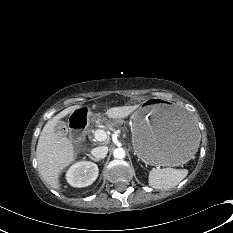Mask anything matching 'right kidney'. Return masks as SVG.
<instances>
[{
	"instance_id": "obj_1",
	"label": "right kidney",
	"mask_w": 233,
	"mask_h": 233,
	"mask_svg": "<svg viewBox=\"0 0 233 233\" xmlns=\"http://www.w3.org/2000/svg\"><path fill=\"white\" fill-rule=\"evenodd\" d=\"M98 166L93 162L81 161L72 165L66 174L67 182L73 187L91 185L98 176Z\"/></svg>"
}]
</instances>
